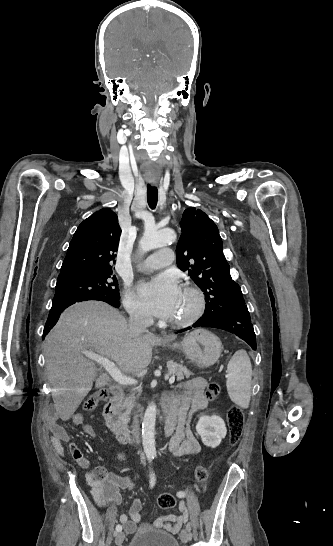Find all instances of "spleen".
I'll return each mask as SVG.
<instances>
[{
  "label": "spleen",
  "instance_id": "obj_1",
  "mask_svg": "<svg viewBox=\"0 0 333 546\" xmlns=\"http://www.w3.org/2000/svg\"><path fill=\"white\" fill-rule=\"evenodd\" d=\"M252 366L246 351H237L227 366V391L231 400L248 408L251 398Z\"/></svg>",
  "mask_w": 333,
  "mask_h": 546
}]
</instances>
